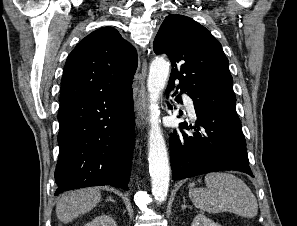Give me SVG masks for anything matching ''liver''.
Wrapping results in <instances>:
<instances>
[{"label": "liver", "instance_id": "6515ba94", "mask_svg": "<svg viewBox=\"0 0 297 226\" xmlns=\"http://www.w3.org/2000/svg\"><path fill=\"white\" fill-rule=\"evenodd\" d=\"M100 201L101 193L95 188L65 193L56 205L57 218L63 223H69L78 216L89 212Z\"/></svg>", "mask_w": 297, "mask_h": 226}]
</instances>
